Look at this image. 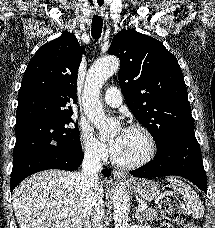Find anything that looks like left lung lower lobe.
I'll return each instance as SVG.
<instances>
[{"instance_id": "0a47b994", "label": "left lung lower lobe", "mask_w": 215, "mask_h": 228, "mask_svg": "<svg viewBox=\"0 0 215 228\" xmlns=\"http://www.w3.org/2000/svg\"><path fill=\"white\" fill-rule=\"evenodd\" d=\"M130 173L140 178L182 176L207 193V177L194 131H186L168 138L164 144L157 147L153 161Z\"/></svg>"}]
</instances>
